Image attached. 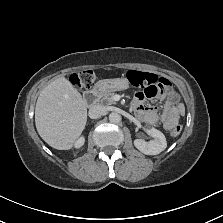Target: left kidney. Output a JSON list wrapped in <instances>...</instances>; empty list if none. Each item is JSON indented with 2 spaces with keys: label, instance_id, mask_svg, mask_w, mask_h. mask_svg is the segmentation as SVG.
Instances as JSON below:
<instances>
[{
  "label": "left kidney",
  "instance_id": "obj_1",
  "mask_svg": "<svg viewBox=\"0 0 223 223\" xmlns=\"http://www.w3.org/2000/svg\"><path fill=\"white\" fill-rule=\"evenodd\" d=\"M147 134L153 137V140L145 142L141 139L134 141L135 147L146 155H157L167 147V141L162 132L155 128L146 129Z\"/></svg>",
  "mask_w": 223,
  "mask_h": 223
}]
</instances>
